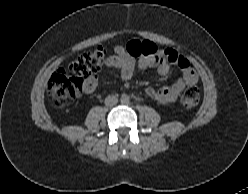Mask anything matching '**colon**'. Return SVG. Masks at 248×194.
<instances>
[{
  "instance_id": "obj_1",
  "label": "colon",
  "mask_w": 248,
  "mask_h": 194,
  "mask_svg": "<svg viewBox=\"0 0 248 194\" xmlns=\"http://www.w3.org/2000/svg\"><path fill=\"white\" fill-rule=\"evenodd\" d=\"M128 52L134 57L155 55L159 52L156 45L150 41L134 40L127 45ZM166 51V61L175 64L181 60L176 52ZM105 63V51L98 47L77 57L73 62L58 69L48 83V94L52 102L63 107L69 101L76 98L83 90L84 80L96 76ZM200 100V94L196 87H188L180 96V103L185 109L194 108Z\"/></svg>"
}]
</instances>
